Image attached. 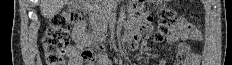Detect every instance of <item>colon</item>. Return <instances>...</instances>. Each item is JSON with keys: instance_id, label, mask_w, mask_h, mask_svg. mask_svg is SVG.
Listing matches in <instances>:
<instances>
[{"instance_id": "colon-1", "label": "colon", "mask_w": 232, "mask_h": 65, "mask_svg": "<svg viewBox=\"0 0 232 65\" xmlns=\"http://www.w3.org/2000/svg\"><path fill=\"white\" fill-rule=\"evenodd\" d=\"M157 17L158 30L154 34V42H162L169 36L177 22L174 11L164 0L154 1ZM80 13L74 9H69L55 15L50 20L49 28L43 37V48L45 53L46 65H65V47L69 42V30L75 23L81 22ZM184 52L187 46H181ZM96 60V51L87 49L82 53V61L86 65H92Z\"/></svg>"}]
</instances>
